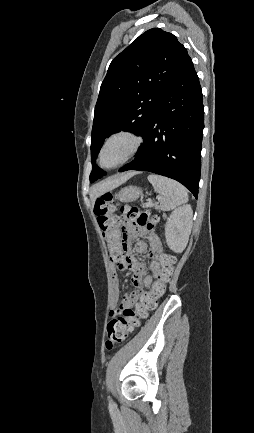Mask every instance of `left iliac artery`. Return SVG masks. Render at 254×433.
I'll return each instance as SVG.
<instances>
[{"label": "left iliac artery", "mask_w": 254, "mask_h": 433, "mask_svg": "<svg viewBox=\"0 0 254 433\" xmlns=\"http://www.w3.org/2000/svg\"><path fill=\"white\" fill-rule=\"evenodd\" d=\"M109 403H110V404H113V402H112V400H111V399H109Z\"/></svg>", "instance_id": "1"}]
</instances>
